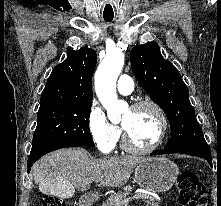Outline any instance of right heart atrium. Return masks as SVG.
<instances>
[{"instance_id": "d8ad5b80", "label": "right heart atrium", "mask_w": 221, "mask_h": 206, "mask_svg": "<svg viewBox=\"0 0 221 206\" xmlns=\"http://www.w3.org/2000/svg\"><path fill=\"white\" fill-rule=\"evenodd\" d=\"M88 127L95 145L102 153L109 154L115 149L121 131L108 120L104 111L95 103L89 111Z\"/></svg>"}]
</instances>
